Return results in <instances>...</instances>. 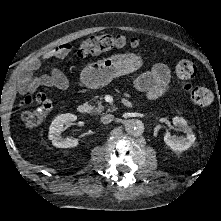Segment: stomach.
Instances as JSON below:
<instances>
[{
  "label": "stomach",
  "mask_w": 221,
  "mask_h": 221,
  "mask_svg": "<svg viewBox=\"0 0 221 221\" xmlns=\"http://www.w3.org/2000/svg\"><path fill=\"white\" fill-rule=\"evenodd\" d=\"M143 65V60L134 53L115 54L98 60L83 68L81 82L91 89L109 84L114 78L133 73Z\"/></svg>",
  "instance_id": "stomach-1"
}]
</instances>
